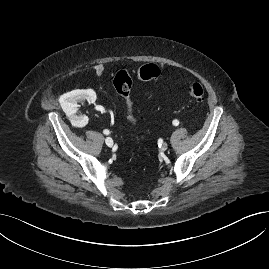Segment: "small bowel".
<instances>
[{
    "instance_id": "1",
    "label": "small bowel",
    "mask_w": 269,
    "mask_h": 269,
    "mask_svg": "<svg viewBox=\"0 0 269 269\" xmlns=\"http://www.w3.org/2000/svg\"><path fill=\"white\" fill-rule=\"evenodd\" d=\"M160 66L163 68V65ZM93 69L98 76H102L104 73V67L100 64L95 65Z\"/></svg>"
}]
</instances>
